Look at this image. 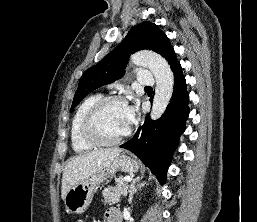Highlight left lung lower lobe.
Segmentation results:
<instances>
[{
    "mask_svg": "<svg viewBox=\"0 0 257 222\" xmlns=\"http://www.w3.org/2000/svg\"><path fill=\"white\" fill-rule=\"evenodd\" d=\"M170 67L174 73V91L164 114L157 121L147 116L133 138L119 146L138 156L161 184L166 181L167 169L189 115V95L181 65L175 60Z\"/></svg>",
    "mask_w": 257,
    "mask_h": 222,
    "instance_id": "1",
    "label": "left lung lower lobe"
}]
</instances>
